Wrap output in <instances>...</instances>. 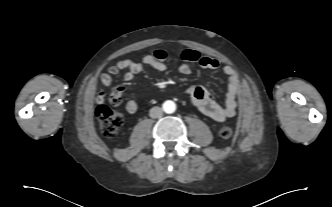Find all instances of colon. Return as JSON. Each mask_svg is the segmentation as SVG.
Instances as JSON below:
<instances>
[{
	"label": "colon",
	"mask_w": 332,
	"mask_h": 207,
	"mask_svg": "<svg viewBox=\"0 0 332 207\" xmlns=\"http://www.w3.org/2000/svg\"><path fill=\"white\" fill-rule=\"evenodd\" d=\"M106 99L107 97L104 93L99 95V105L96 109V115L100 122L103 135L107 138H113L118 134L123 124V116L121 113L111 109L106 104ZM108 100L112 105H118L121 102V97L114 91ZM231 135L232 130L229 127H223L220 130V136L224 139L230 138Z\"/></svg>",
	"instance_id": "obj_1"
}]
</instances>
